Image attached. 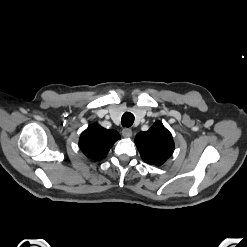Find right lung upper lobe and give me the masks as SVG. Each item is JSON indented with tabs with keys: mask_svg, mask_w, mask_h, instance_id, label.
Segmentation results:
<instances>
[{
	"mask_svg": "<svg viewBox=\"0 0 247 247\" xmlns=\"http://www.w3.org/2000/svg\"><path fill=\"white\" fill-rule=\"evenodd\" d=\"M119 139L120 135L117 131L93 124L82 132L79 147L87 157L98 161L106 157L110 148Z\"/></svg>",
	"mask_w": 247,
	"mask_h": 247,
	"instance_id": "obj_1",
	"label": "right lung upper lobe"
}]
</instances>
